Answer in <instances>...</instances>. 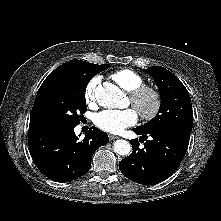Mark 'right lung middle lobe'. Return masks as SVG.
<instances>
[{"label":"right lung middle lobe","mask_w":221,"mask_h":221,"mask_svg":"<svg viewBox=\"0 0 221 221\" xmlns=\"http://www.w3.org/2000/svg\"><path fill=\"white\" fill-rule=\"evenodd\" d=\"M111 65H93L85 73L60 76L36 96L29 131L77 126L86 108L85 90L93 76Z\"/></svg>","instance_id":"1"}]
</instances>
